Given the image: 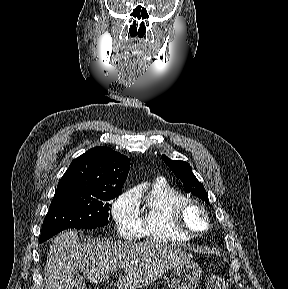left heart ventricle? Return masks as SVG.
<instances>
[{"instance_id":"obj_1","label":"left heart ventricle","mask_w":288,"mask_h":289,"mask_svg":"<svg viewBox=\"0 0 288 289\" xmlns=\"http://www.w3.org/2000/svg\"><path fill=\"white\" fill-rule=\"evenodd\" d=\"M183 218L187 227L192 231H201L206 226L204 215L194 206L185 210Z\"/></svg>"}]
</instances>
